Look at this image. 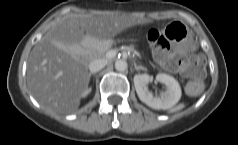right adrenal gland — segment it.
<instances>
[{"label":"right adrenal gland","instance_id":"2a0ac1e0","mask_svg":"<svg viewBox=\"0 0 238 145\" xmlns=\"http://www.w3.org/2000/svg\"><path fill=\"white\" fill-rule=\"evenodd\" d=\"M92 75H95V74H93V73H90V74H89V77L91 78V76H92Z\"/></svg>","mask_w":238,"mask_h":145}]
</instances>
